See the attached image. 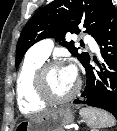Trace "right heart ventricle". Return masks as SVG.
<instances>
[{
	"label": "right heart ventricle",
	"mask_w": 117,
	"mask_h": 131,
	"mask_svg": "<svg viewBox=\"0 0 117 131\" xmlns=\"http://www.w3.org/2000/svg\"><path fill=\"white\" fill-rule=\"evenodd\" d=\"M44 61L27 57L18 73L16 95L19 108L23 113L38 112L47 106V103L37 97L34 89L36 71Z\"/></svg>",
	"instance_id": "obj_1"
}]
</instances>
